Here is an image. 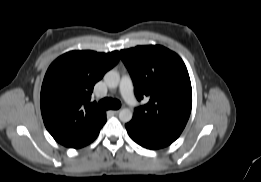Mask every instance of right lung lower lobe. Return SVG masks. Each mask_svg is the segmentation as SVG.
I'll return each instance as SVG.
<instances>
[{"label": "right lung lower lobe", "instance_id": "right-lung-lower-lobe-1", "mask_svg": "<svg viewBox=\"0 0 261 182\" xmlns=\"http://www.w3.org/2000/svg\"><path fill=\"white\" fill-rule=\"evenodd\" d=\"M105 122H106V120H105ZM105 122H104V124H105ZM103 124V125H104ZM102 125V126H103ZM102 126L92 135V137L90 138V140L88 141V143L87 144H89V143H91L93 140H95V138L98 136V134H99V131H100V129L102 128ZM86 144V145H87Z\"/></svg>", "mask_w": 261, "mask_h": 182}]
</instances>
